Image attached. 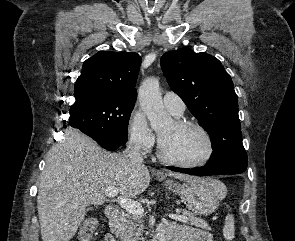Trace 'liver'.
<instances>
[{
	"instance_id": "6515ba94",
	"label": "liver",
	"mask_w": 295,
	"mask_h": 241,
	"mask_svg": "<svg viewBox=\"0 0 295 241\" xmlns=\"http://www.w3.org/2000/svg\"><path fill=\"white\" fill-rule=\"evenodd\" d=\"M183 181L199 178L169 172ZM150 183L149 169L134 165L123 155L103 150L84 134L68 129L46 156L38 183L37 208L43 241H70L89 205L105 202L108 187L124 198L135 197Z\"/></svg>"
}]
</instances>
